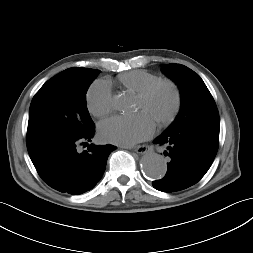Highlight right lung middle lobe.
I'll list each match as a JSON object with an SVG mask.
<instances>
[{"label": "right lung middle lobe", "mask_w": 253, "mask_h": 253, "mask_svg": "<svg viewBox=\"0 0 253 253\" xmlns=\"http://www.w3.org/2000/svg\"><path fill=\"white\" fill-rule=\"evenodd\" d=\"M99 73L96 69L70 68L48 80L35 94L27 129L30 158L94 129L86 106V92Z\"/></svg>", "instance_id": "dd1d6c3e"}]
</instances>
